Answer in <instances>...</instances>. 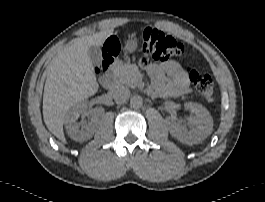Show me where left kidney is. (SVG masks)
Wrapping results in <instances>:
<instances>
[{
	"label": "left kidney",
	"instance_id": "1",
	"mask_svg": "<svg viewBox=\"0 0 265 202\" xmlns=\"http://www.w3.org/2000/svg\"><path fill=\"white\" fill-rule=\"evenodd\" d=\"M185 109L193 113L189 122L193 126L190 131L185 126L175 121L173 118H167L166 123L170 134L184 144H198L211 133L213 129V120L209 111L200 104L188 102L184 105Z\"/></svg>",
	"mask_w": 265,
	"mask_h": 202
}]
</instances>
